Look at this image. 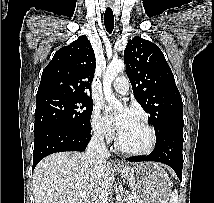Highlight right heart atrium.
Listing matches in <instances>:
<instances>
[{
  "label": "right heart atrium",
  "instance_id": "d8ad5b80",
  "mask_svg": "<svg viewBox=\"0 0 214 203\" xmlns=\"http://www.w3.org/2000/svg\"><path fill=\"white\" fill-rule=\"evenodd\" d=\"M91 129L95 137L109 141L113 138L114 132L110 122L100 113L98 107H94L91 116Z\"/></svg>",
  "mask_w": 214,
  "mask_h": 203
}]
</instances>
